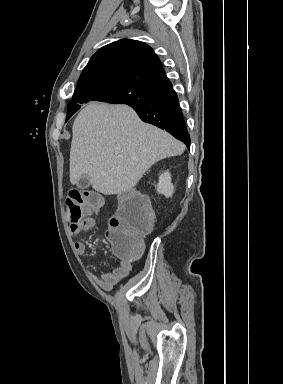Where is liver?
<instances>
[{"mask_svg": "<svg viewBox=\"0 0 283 384\" xmlns=\"http://www.w3.org/2000/svg\"><path fill=\"white\" fill-rule=\"evenodd\" d=\"M70 182L88 176L101 194L130 192L159 160L181 156L186 146L173 136L144 124L125 106L88 104L72 128Z\"/></svg>", "mask_w": 283, "mask_h": 384, "instance_id": "liver-1", "label": "liver"}]
</instances>
